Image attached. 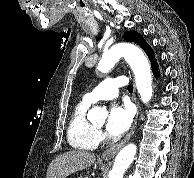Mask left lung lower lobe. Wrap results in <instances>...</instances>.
<instances>
[{
  "label": "left lung lower lobe",
  "mask_w": 194,
  "mask_h": 178,
  "mask_svg": "<svg viewBox=\"0 0 194 178\" xmlns=\"http://www.w3.org/2000/svg\"><path fill=\"white\" fill-rule=\"evenodd\" d=\"M152 71H153L155 77H158L159 76L158 66H157L156 61L152 64Z\"/></svg>",
  "instance_id": "1"
}]
</instances>
